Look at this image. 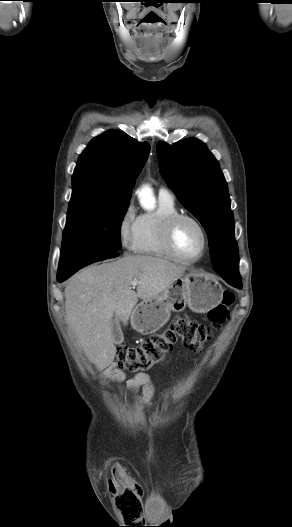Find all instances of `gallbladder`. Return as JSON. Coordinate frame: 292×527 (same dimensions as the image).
Here are the masks:
<instances>
[{
  "label": "gallbladder",
  "instance_id": "gallbladder-1",
  "mask_svg": "<svg viewBox=\"0 0 292 527\" xmlns=\"http://www.w3.org/2000/svg\"><path fill=\"white\" fill-rule=\"evenodd\" d=\"M112 336L115 345L121 344L124 340L123 333L116 319L112 320Z\"/></svg>",
  "mask_w": 292,
  "mask_h": 527
}]
</instances>
